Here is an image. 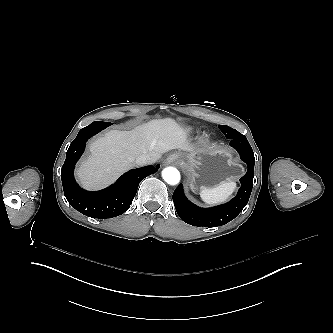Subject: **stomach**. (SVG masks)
I'll return each instance as SVG.
<instances>
[{
    "label": "stomach",
    "mask_w": 333,
    "mask_h": 333,
    "mask_svg": "<svg viewBox=\"0 0 333 333\" xmlns=\"http://www.w3.org/2000/svg\"><path fill=\"white\" fill-rule=\"evenodd\" d=\"M178 165L188 175V183L192 192L199 193L204 188H211L222 181L237 180L243 166L233 160L228 148H198L181 159L176 152Z\"/></svg>",
    "instance_id": "stomach-1"
}]
</instances>
